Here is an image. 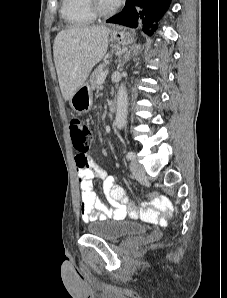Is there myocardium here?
Returning a JSON list of instances; mask_svg holds the SVG:
<instances>
[{
	"mask_svg": "<svg viewBox=\"0 0 227 298\" xmlns=\"http://www.w3.org/2000/svg\"><path fill=\"white\" fill-rule=\"evenodd\" d=\"M88 1H89L90 9L96 17H107L113 14L115 11V9L112 7L110 8L101 7L97 0H88Z\"/></svg>",
	"mask_w": 227,
	"mask_h": 298,
	"instance_id": "f54148a6",
	"label": "myocardium"
}]
</instances>
